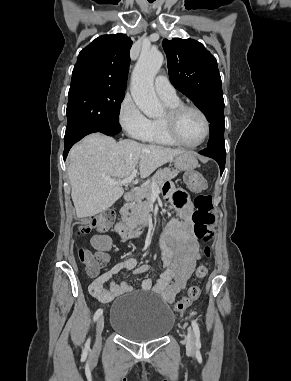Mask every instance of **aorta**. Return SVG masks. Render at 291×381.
<instances>
[{"label":"aorta","mask_w":291,"mask_h":381,"mask_svg":"<svg viewBox=\"0 0 291 381\" xmlns=\"http://www.w3.org/2000/svg\"><path fill=\"white\" fill-rule=\"evenodd\" d=\"M163 63L158 50H143L133 69L131 95L138 108L148 117L158 116L162 105L154 90V78Z\"/></svg>","instance_id":"762f6f07"}]
</instances>
